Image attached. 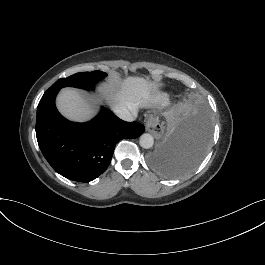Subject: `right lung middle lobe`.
Wrapping results in <instances>:
<instances>
[{"label":"right lung middle lobe","instance_id":"1","mask_svg":"<svg viewBox=\"0 0 265 265\" xmlns=\"http://www.w3.org/2000/svg\"><path fill=\"white\" fill-rule=\"evenodd\" d=\"M106 74L101 71H92V72H81L71 75L67 78H61L55 82L49 90L60 89L62 87H76L86 90H93V84L98 80L105 77Z\"/></svg>","mask_w":265,"mask_h":265}]
</instances>
